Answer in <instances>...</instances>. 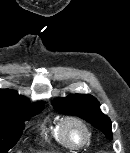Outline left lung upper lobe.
<instances>
[{"mask_svg": "<svg viewBox=\"0 0 130 153\" xmlns=\"http://www.w3.org/2000/svg\"><path fill=\"white\" fill-rule=\"evenodd\" d=\"M54 109L66 115L78 116L101 130L108 139H112L111 120L104 115L99 102L92 95L71 94L53 101Z\"/></svg>", "mask_w": 130, "mask_h": 153, "instance_id": "obj_1", "label": "left lung upper lobe"}]
</instances>
